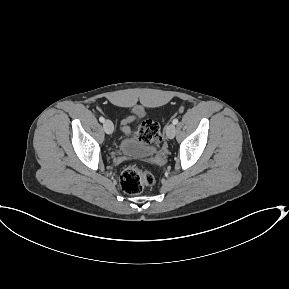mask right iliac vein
Here are the masks:
<instances>
[{
    "mask_svg": "<svg viewBox=\"0 0 289 289\" xmlns=\"http://www.w3.org/2000/svg\"><path fill=\"white\" fill-rule=\"evenodd\" d=\"M103 128L107 134H112L114 131L113 123L110 120L104 121Z\"/></svg>",
    "mask_w": 289,
    "mask_h": 289,
    "instance_id": "1",
    "label": "right iliac vein"
}]
</instances>
